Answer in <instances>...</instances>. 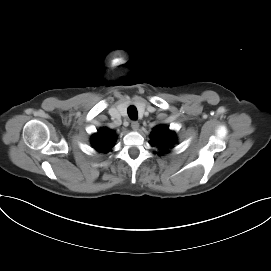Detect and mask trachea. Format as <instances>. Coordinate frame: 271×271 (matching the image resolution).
Masks as SVG:
<instances>
[{
  "mask_svg": "<svg viewBox=\"0 0 271 271\" xmlns=\"http://www.w3.org/2000/svg\"><path fill=\"white\" fill-rule=\"evenodd\" d=\"M128 112V115L129 117L132 119V120H136L137 117H138V113H137V109L135 106H130L127 110Z\"/></svg>",
  "mask_w": 271,
  "mask_h": 271,
  "instance_id": "3493384b",
  "label": "trachea"
}]
</instances>
